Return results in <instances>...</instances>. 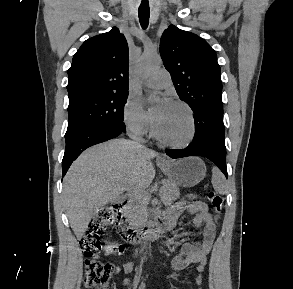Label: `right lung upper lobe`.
Returning a JSON list of instances; mask_svg holds the SVG:
<instances>
[{
  "label": "right lung upper lobe",
  "mask_w": 293,
  "mask_h": 289,
  "mask_svg": "<svg viewBox=\"0 0 293 289\" xmlns=\"http://www.w3.org/2000/svg\"><path fill=\"white\" fill-rule=\"evenodd\" d=\"M128 68V44L116 27L86 40L68 70L69 101L91 95L128 93Z\"/></svg>",
  "instance_id": "obj_1"
}]
</instances>
